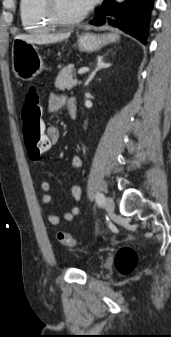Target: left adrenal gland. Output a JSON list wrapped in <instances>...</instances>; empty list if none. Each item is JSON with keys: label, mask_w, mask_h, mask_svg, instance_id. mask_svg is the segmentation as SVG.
I'll use <instances>...</instances> for the list:
<instances>
[{"label": "left adrenal gland", "mask_w": 171, "mask_h": 337, "mask_svg": "<svg viewBox=\"0 0 171 337\" xmlns=\"http://www.w3.org/2000/svg\"><path fill=\"white\" fill-rule=\"evenodd\" d=\"M111 64L110 63H106L104 62L103 60V57H98V60H97V67L96 69L91 73V75L89 76V78L87 79V81L85 82V86H87L90 81H92V79L94 78V76L96 75V73L100 70V69H103V68H108L110 67Z\"/></svg>", "instance_id": "obj_1"}]
</instances>
